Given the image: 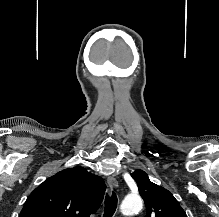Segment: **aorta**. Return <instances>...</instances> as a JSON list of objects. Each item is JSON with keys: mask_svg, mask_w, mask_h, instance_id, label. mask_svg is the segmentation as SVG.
I'll return each instance as SVG.
<instances>
[{"mask_svg": "<svg viewBox=\"0 0 219 217\" xmlns=\"http://www.w3.org/2000/svg\"><path fill=\"white\" fill-rule=\"evenodd\" d=\"M143 208V202L140 196H128L121 205V211L124 215L130 216L139 212Z\"/></svg>", "mask_w": 219, "mask_h": 217, "instance_id": "762f6f07", "label": "aorta"}]
</instances>
